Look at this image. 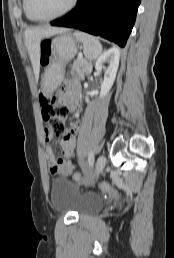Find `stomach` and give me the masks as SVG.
Wrapping results in <instances>:
<instances>
[{
	"label": "stomach",
	"instance_id": "0dacf381",
	"mask_svg": "<svg viewBox=\"0 0 174 258\" xmlns=\"http://www.w3.org/2000/svg\"><path fill=\"white\" fill-rule=\"evenodd\" d=\"M77 52L76 40L70 34H63L52 39L49 62L45 65L42 78V92L46 96L51 95L61 84L64 77V65L72 60Z\"/></svg>",
	"mask_w": 174,
	"mask_h": 258
}]
</instances>
